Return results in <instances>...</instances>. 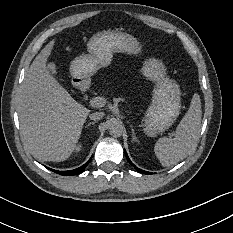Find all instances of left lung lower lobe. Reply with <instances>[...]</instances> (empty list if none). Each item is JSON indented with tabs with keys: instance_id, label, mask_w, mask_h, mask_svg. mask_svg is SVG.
<instances>
[{
	"instance_id": "1",
	"label": "left lung lower lobe",
	"mask_w": 233,
	"mask_h": 233,
	"mask_svg": "<svg viewBox=\"0 0 233 233\" xmlns=\"http://www.w3.org/2000/svg\"><path fill=\"white\" fill-rule=\"evenodd\" d=\"M125 155H126L127 160L129 161V163H130L132 166H134V167H135V169H136L137 171H139V172H141V173H145V174H152V173H150V172L143 171V170H141V169L137 168V167H136V166H135V165L130 161V159H129V157H128L127 153H126V151H125Z\"/></svg>"
}]
</instances>
